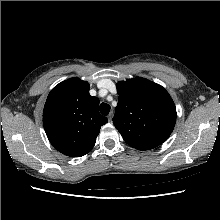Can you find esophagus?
<instances>
[{"instance_id": "obj_1", "label": "esophagus", "mask_w": 220, "mask_h": 220, "mask_svg": "<svg viewBox=\"0 0 220 220\" xmlns=\"http://www.w3.org/2000/svg\"><path fill=\"white\" fill-rule=\"evenodd\" d=\"M113 117V112H110L107 116L108 120L111 121Z\"/></svg>"}]
</instances>
